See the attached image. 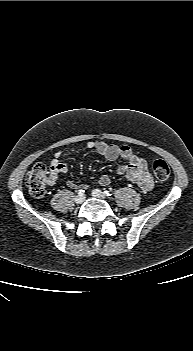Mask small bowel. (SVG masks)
I'll use <instances>...</instances> for the list:
<instances>
[{
	"instance_id": "obj_1",
	"label": "small bowel",
	"mask_w": 193,
	"mask_h": 351,
	"mask_svg": "<svg viewBox=\"0 0 193 351\" xmlns=\"http://www.w3.org/2000/svg\"><path fill=\"white\" fill-rule=\"evenodd\" d=\"M85 148L94 150L97 154L103 156L110 162H116L118 159H123L126 163L123 165H117L116 170L119 174L123 175L128 181L134 183L142 191H149L153 187V179L148 170L146 161L135 155L132 149L127 145L118 146L115 144H109L104 141H87ZM67 157V153L58 151L54 154L50 162V181L52 184H56L58 176L68 171L69 166L63 159ZM110 177L108 175H102L98 183L101 186H107L110 184ZM68 186L76 189L79 185L74 181H68Z\"/></svg>"
}]
</instances>
